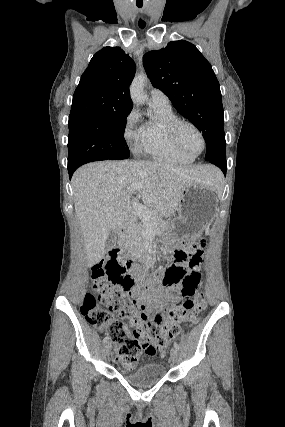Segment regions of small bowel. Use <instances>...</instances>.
<instances>
[{
    "label": "small bowel",
    "mask_w": 285,
    "mask_h": 427,
    "mask_svg": "<svg viewBox=\"0 0 285 427\" xmlns=\"http://www.w3.org/2000/svg\"><path fill=\"white\" fill-rule=\"evenodd\" d=\"M201 262L202 254H199L198 250L197 254L183 265L187 268L189 273L200 274L199 267ZM185 294L181 286L171 288L158 287L156 293L152 297L148 296L145 300L149 307L146 309V312L151 316L149 320H146V324H163V315L169 311V307L172 304L183 298Z\"/></svg>",
    "instance_id": "small-bowel-1"
}]
</instances>
